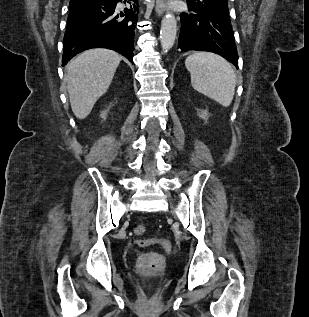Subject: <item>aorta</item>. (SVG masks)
<instances>
[{
    "label": "aorta",
    "mask_w": 309,
    "mask_h": 317,
    "mask_svg": "<svg viewBox=\"0 0 309 317\" xmlns=\"http://www.w3.org/2000/svg\"><path fill=\"white\" fill-rule=\"evenodd\" d=\"M177 33V22L175 16L168 12L163 17L160 30V42L164 51L170 50L175 42Z\"/></svg>",
    "instance_id": "762f6f07"
}]
</instances>
